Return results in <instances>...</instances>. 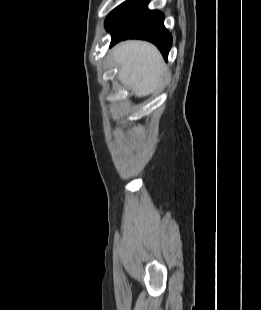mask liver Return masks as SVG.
<instances>
[{"instance_id": "liver-1", "label": "liver", "mask_w": 261, "mask_h": 310, "mask_svg": "<svg viewBox=\"0 0 261 310\" xmlns=\"http://www.w3.org/2000/svg\"><path fill=\"white\" fill-rule=\"evenodd\" d=\"M118 79L137 97H145L161 84L166 66L157 48L149 42L131 40L114 48Z\"/></svg>"}]
</instances>
